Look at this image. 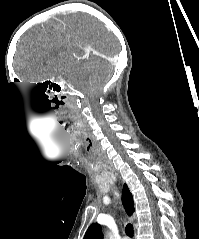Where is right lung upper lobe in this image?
Listing matches in <instances>:
<instances>
[{"label": "right lung upper lobe", "instance_id": "right-lung-upper-lobe-1", "mask_svg": "<svg viewBox=\"0 0 199 239\" xmlns=\"http://www.w3.org/2000/svg\"><path fill=\"white\" fill-rule=\"evenodd\" d=\"M122 202L129 215L134 211L133 196L130 193L126 184L123 186L122 190ZM84 239H102V230L98 223H93L90 225L85 233Z\"/></svg>", "mask_w": 199, "mask_h": 239}]
</instances>
